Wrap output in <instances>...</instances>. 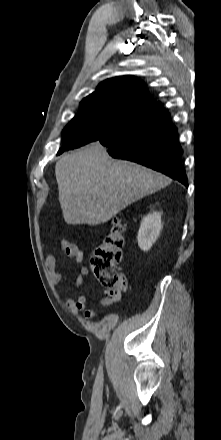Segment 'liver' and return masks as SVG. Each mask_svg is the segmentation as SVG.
Masks as SVG:
<instances>
[{
	"label": "liver",
	"mask_w": 221,
	"mask_h": 440,
	"mask_svg": "<svg viewBox=\"0 0 221 440\" xmlns=\"http://www.w3.org/2000/svg\"><path fill=\"white\" fill-rule=\"evenodd\" d=\"M55 174L63 217L71 225L105 223L171 183L151 169L111 159L99 142L62 157Z\"/></svg>",
	"instance_id": "1"
}]
</instances>
